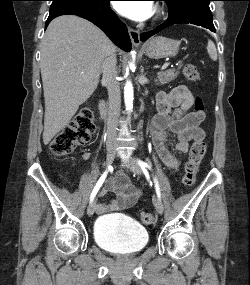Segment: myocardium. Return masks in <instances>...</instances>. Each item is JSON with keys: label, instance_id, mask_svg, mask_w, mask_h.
I'll return each mask as SVG.
<instances>
[{"label": "myocardium", "instance_id": "1", "mask_svg": "<svg viewBox=\"0 0 250 285\" xmlns=\"http://www.w3.org/2000/svg\"><path fill=\"white\" fill-rule=\"evenodd\" d=\"M161 16V9L157 8L156 12H155V19H159Z\"/></svg>", "mask_w": 250, "mask_h": 285}]
</instances>
